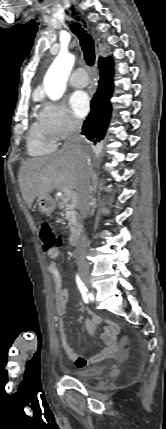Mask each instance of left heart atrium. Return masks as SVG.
<instances>
[{"label": "left heart atrium", "mask_w": 166, "mask_h": 429, "mask_svg": "<svg viewBox=\"0 0 166 429\" xmlns=\"http://www.w3.org/2000/svg\"><path fill=\"white\" fill-rule=\"evenodd\" d=\"M72 113L77 118H83L90 109V100L88 95L83 91L75 92L70 98Z\"/></svg>", "instance_id": "39dd6f15"}]
</instances>
